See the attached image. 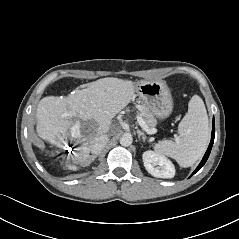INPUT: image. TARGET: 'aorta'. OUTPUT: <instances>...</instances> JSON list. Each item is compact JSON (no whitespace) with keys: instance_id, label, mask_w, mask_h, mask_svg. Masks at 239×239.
<instances>
[{"instance_id":"762f6f07","label":"aorta","mask_w":239,"mask_h":239,"mask_svg":"<svg viewBox=\"0 0 239 239\" xmlns=\"http://www.w3.org/2000/svg\"><path fill=\"white\" fill-rule=\"evenodd\" d=\"M132 142H133V138L131 134H128V133L123 134L122 137L120 138V144L122 146H125V147L130 146Z\"/></svg>"}]
</instances>
